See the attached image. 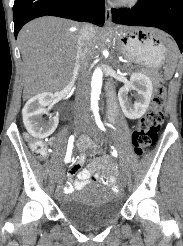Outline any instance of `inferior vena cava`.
I'll use <instances>...</instances> for the list:
<instances>
[{"mask_svg": "<svg viewBox=\"0 0 183 246\" xmlns=\"http://www.w3.org/2000/svg\"><path fill=\"white\" fill-rule=\"evenodd\" d=\"M93 34H94L93 25L86 23L82 26L78 39V50L76 55L75 67L73 70V73L75 75L79 73L81 75V80L78 84L77 93L75 97V107L76 109H81V110L88 109L89 83L84 75L89 66V61L87 59V46L90 43Z\"/></svg>", "mask_w": 183, "mask_h": 246, "instance_id": "inferior-vena-cava-1", "label": "inferior vena cava"}]
</instances>
